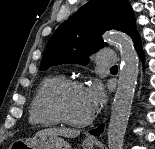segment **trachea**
Returning <instances> with one entry per match:
<instances>
[{"instance_id": "obj_1", "label": "trachea", "mask_w": 155, "mask_h": 149, "mask_svg": "<svg viewBox=\"0 0 155 149\" xmlns=\"http://www.w3.org/2000/svg\"><path fill=\"white\" fill-rule=\"evenodd\" d=\"M111 69H118L117 65L111 67Z\"/></svg>"}]
</instances>
